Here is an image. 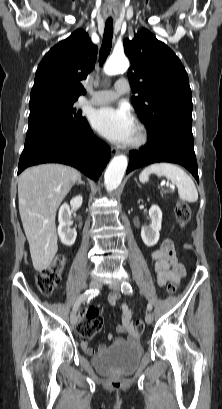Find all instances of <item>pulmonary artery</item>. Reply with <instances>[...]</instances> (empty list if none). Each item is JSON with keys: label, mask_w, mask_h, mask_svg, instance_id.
<instances>
[{"label": "pulmonary artery", "mask_w": 222, "mask_h": 409, "mask_svg": "<svg viewBox=\"0 0 222 409\" xmlns=\"http://www.w3.org/2000/svg\"><path fill=\"white\" fill-rule=\"evenodd\" d=\"M128 91L129 87L126 84L125 80L120 79L115 83L113 89L100 90L95 92L92 95V97L88 100V103L94 105L108 104L116 100L119 96L127 93Z\"/></svg>", "instance_id": "pulmonary-artery-1"}]
</instances>
